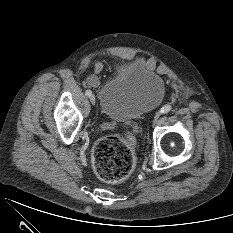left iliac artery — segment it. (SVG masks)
<instances>
[{
  "instance_id": "obj_1",
  "label": "left iliac artery",
  "mask_w": 233,
  "mask_h": 233,
  "mask_svg": "<svg viewBox=\"0 0 233 233\" xmlns=\"http://www.w3.org/2000/svg\"><path fill=\"white\" fill-rule=\"evenodd\" d=\"M171 110V106L165 105L161 108L160 113L167 114Z\"/></svg>"
}]
</instances>
